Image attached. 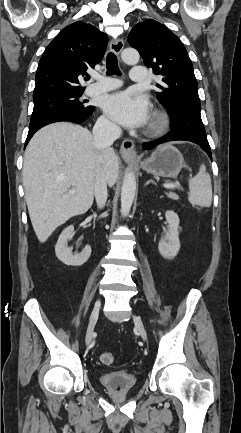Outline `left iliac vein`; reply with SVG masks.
<instances>
[{"label":"left iliac vein","mask_w":241,"mask_h":433,"mask_svg":"<svg viewBox=\"0 0 241 433\" xmlns=\"http://www.w3.org/2000/svg\"><path fill=\"white\" fill-rule=\"evenodd\" d=\"M133 320H134V324H135V326H136V328H137V330H138L141 338L144 341H146L147 340V334H146L144 325L142 323V320L140 319V317L135 316V315L133 316Z\"/></svg>","instance_id":"1"}]
</instances>
